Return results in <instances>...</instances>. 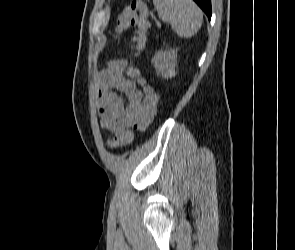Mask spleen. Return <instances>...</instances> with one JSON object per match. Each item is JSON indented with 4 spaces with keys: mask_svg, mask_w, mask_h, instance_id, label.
Returning a JSON list of instances; mask_svg holds the SVG:
<instances>
[{
    "mask_svg": "<svg viewBox=\"0 0 295 250\" xmlns=\"http://www.w3.org/2000/svg\"><path fill=\"white\" fill-rule=\"evenodd\" d=\"M153 4L162 21L169 22L178 36L190 38L199 31L203 14L193 0H153Z\"/></svg>",
    "mask_w": 295,
    "mask_h": 250,
    "instance_id": "obj_1",
    "label": "spleen"
}]
</instances>
